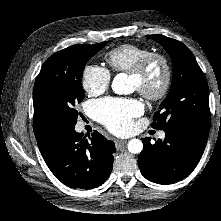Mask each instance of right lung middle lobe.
I'll return each mask as SVG.
<instances>
[{
	"mask_svg": "<svg viewBox=\"0 0 221 221\" xmlns=\"http://www.w3.org/2000/svg\"><path fill=\"white\" fill-rule=\"evenodd\" d=\"M107 42L95 45H74L50 56L36 78L33 100L49 115L54 126H74L76 106L84 98L81 77L86 63Z\"/></svg>",
	"mask_w": 221,
	"mask_h": 221,
	"instance_id": "obj_1",
	"label": "right lung middle lobe"
}]
</instances>
